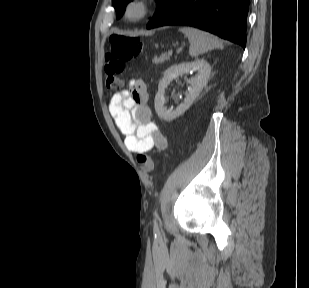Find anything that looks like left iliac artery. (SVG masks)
<instances>
[{
    "label": "left iliac artery",
    "instance_id": "44dca946",
    "mask_svg": "<svg viewBox=\"0 0 309 288\" xmlns=\"http://www.w3.org/2000/svg\"><path fill=\"white\" fill-rule=\"evenodd\" d=\"M154 216H155V220H154V227H155V229H158V224H157L158 214H157V212H156V211H155V213H154Z\"/></svg>",
    "mask_w": 309,
    "mask_h": 288
}]
</instances>
